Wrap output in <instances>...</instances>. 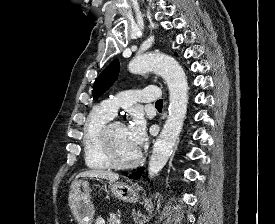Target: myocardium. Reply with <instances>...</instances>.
I'll return each instance as SVG.
<instances>
[{
  "mask_svg": "<svg viewBox=\"0 0 275 224\" xmlns=\"http://www.w3.org/2000/svg\"><path fill=\"white\" fill-rule=\"evenodd\" d=\"M115 124H122L120 121L109 120L101 129L99 134V144L106 161L110 166L118 169H129L136 167L142 160V153L139 151L137 156L130 161L119 160L114 152L111 142V129ZM123 125V124H122Z\"/></svg>",
  "mask_w": 275,
  "mask_h": 224,
  "instance_id": "1",
  "label": "myocardium"
}]
</instances>
